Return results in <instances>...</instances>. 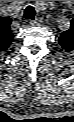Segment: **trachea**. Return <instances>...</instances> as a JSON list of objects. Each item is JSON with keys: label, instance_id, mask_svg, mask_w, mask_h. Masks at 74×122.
Returning a JSON list of instances; mask_svg holds the SVG:
<instances>
[{"label": "trachea", "instance_id": "3493384b", "mask_svg": "<svg viewBox=\"0 0 74 122\" xmlns=\"http://www.w3.org/2000/svg\"><path fill=\"white\" fill-rule=\"evenodd\" d=\"M36 11L33 6L29 5L24 10V18L26 20H34Z\"/></svg>", "mask_w": 74, "mask_h": 122}]
</instances>
